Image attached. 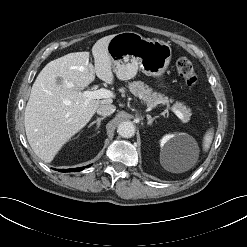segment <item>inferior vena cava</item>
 <instances>
[{
  "mask_svg": "<svg viewBox=\"0 0 247 247\" xmlns=\"http://www.w3.org/2000/svg\"><path fill=\"white\" fill-rule=\"evenodd\" d=\"M116 110V107L112 104H103L100 105L97 109V114L102 115V116H109L113 114Z\"/></svg>",
  "mask_w": 247,
  "mask_h": 247,
  "instance_id": "inferior-vena-cava-1",
  "label": "inferior vena cava"
}]
</instances>
